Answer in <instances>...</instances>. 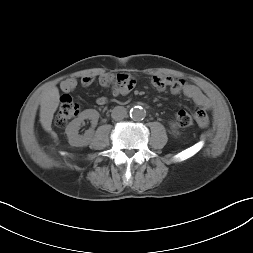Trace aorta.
<instances>
[{"label": "aorta", "instance_id": "762f6f07", "mask_svg": "<svg viewBox=\"0 0 253 253\" xmlns=\"http://www.w3.org/2000/svg\"><path fill=\"white\" fill-rule=\"evenodd\" d=\"M145 116H146V111L141 106H134L130 110V117L135 121L143 120Z\"/></svg>", "mask_w": 253, "mask_h": 253}]
</instances>
